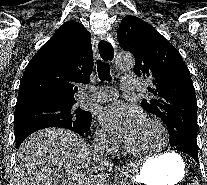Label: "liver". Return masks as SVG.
I'll return each mask as SVG.
<instances>
[{
  "label": "liver",
  "instance_id": "obj_1",
  "mask_svg": "<svg viewBox=\"0 0 207 185\" xmlns=\"http://www.w3.org/2000/svg\"><path fill=\"white\" fill-rule=\"evenodd\" d=\"M96 155L80 135L48 127L21 143L16 153L13 185H94Z\"/></svg>",
  "mask_w": 207,
  "mask_h": 185
}]
</instances>
